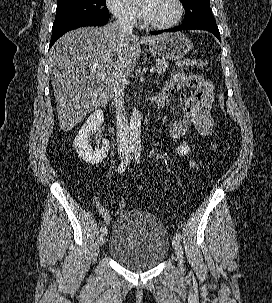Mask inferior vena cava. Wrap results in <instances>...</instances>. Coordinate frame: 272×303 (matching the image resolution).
<instances>
[{"mask_svg": "<svg viewBox=\"0 0 272 303\" xmlns=\"http://www.w3.org/2000/svg\"><path fill=\"white\" fill-rule=\"evenodd\" d=\"M122 36L133 34V21L129 17H119L114 23ZM126 76L119 70L115 78L114 105L116 108V140L118 153L121 158H128L130 153V131L127 115L124 109V88Z\"/></svg>", "mask_w": 272, "mask_h": 303, "instance_id": "1", "label": "inferior vena cava"}]
</instances>
